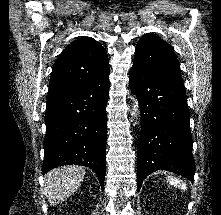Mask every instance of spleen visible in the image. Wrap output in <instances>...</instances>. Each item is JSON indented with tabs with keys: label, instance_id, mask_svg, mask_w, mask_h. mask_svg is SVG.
<instances>
[{
	"label": "spleen",
	"instance_id": "3e777b00",
	"mask_svg": "<svg viewBox=\"0 0 221 215\" xmlns=\"http://www.w3.org/2000/svg\"><path fill=\"white\" fill-rule=\"evenodd\" d=\"M168 180H169V182H170L172 185H174V186H176V187H179V188H181V189H183V190L186 189V185H185L184 183H180V181H179L178 179L173 178V177H168Z\"/></svg>",
	"mask_w": 221,
	"mask_h": 215
}]
</instances>
